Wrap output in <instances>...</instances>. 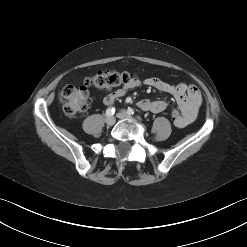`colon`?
Instances as JSON below:
<instances>
[{
    "label": "colon",
    "instance_id": "5ec220e1",
    "mask_svg": "<svg viewBox=\"0 0 247 247\" xmlns=\"http://www.w3.org/2000/svg\"><path fill=\"white\" fill-rule=\"evenodd\" d=\"M135 76L127 71L105 70L98 71L85 79L80 87L68 85L63 89V109L69 118L76 117L88 107V88L110 90L123 87L133 81ZM171 117L175 122L180 118V112L176 109L171 111Z\"/></svg>",
    "mask_w": 247,
    "mask_h": 247
}]
</instances>
